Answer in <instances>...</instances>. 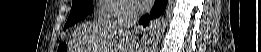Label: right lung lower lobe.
Returning a JSON list of instances; mask_svg holds the SVG:
<instances>
[{"mask_svg":"<svg viewBox=\"0 0 261 52\" xmlns=\"http://www.w3.org/2000/svg\"><path fill=\"white\" fill-rule=\"evenodd\" d=\"M167 4V0H156V3L154 5V8L152 9V11L150 12V15H145L143 16L139 23L143 24L144 26L149 24V19H153L156 18L158 16H160Z\"/></svg>","mask_w":261,"mask_h":52,"instance_id":"right-lung-lower-lobe-1","label":"right lung lower lobe"}]
</instances>
